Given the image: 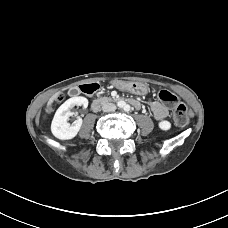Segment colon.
I'll return each mask as SVG.
<instances>
[{
    "label": "colon",
    "instance_id": "obj_1",
    "mask_svg": "<svg viewBox=\"0 0 228 228\" xmlns=\"http://www.w3.org/2000/svg\"><path fill=\"white\" fill-rule=\"evenodd\" d=\"M63 94H60L58 100L63 99ZM159 99L166 105L174 107V121L179 126L186 125L190 120V111L188 107L181 103L178 98L167 90H161L158 94Z\"/></svg>",
    "mask_w": 228,
    "mask_h": 228
}]
</instances>
